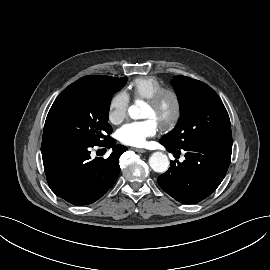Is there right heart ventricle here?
Wrapping results in <instances>:
<instances>
[{
    "label": "right heart ventricle",
    "instance_id": "e07e8e85",
    "mask_svg": "<svg viewBox=\"0 0 270 270\" xmlns=\"http://www.w3.org/2000/svg\"><path fill=\"white\" fill-rule=\"evenodd\" d=\"M163 87L162 81L154 76L135 78L128 85V89L135 99H147Z\"/></svg>",
    "mask_w": 270,
    "mask_h": 270
}]
</instances>
